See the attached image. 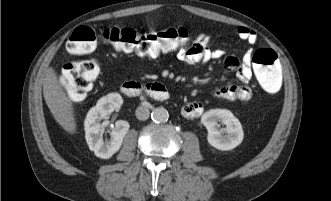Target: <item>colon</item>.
<instances>
[{"instance_id": "obj_1", "label": "colon", "mask_w": 331, "mask_h": 201, "mask_svg": "<svg viewBox=\"0 0 331 201\" xmlns=\"http://www.w3.org/2000/svg\"><path fill=\"white\" fill-rule=\"evenodd\" d=\"M99 36L118 51L152 57L186 46L190 40V32L185 28L139 33L132 28L109 27ZM97 39L94 29L79 27L70 36L67 50L73 55L87 54L94 50ZM252 63L259 84L270 93L278 92L282 85V67L277 53L269 48L258 49L252 56ZM99 73L95 60H73L64 65L61 82L70 98L78 101L86 96Z\"/></svg>"}]
</instances>
